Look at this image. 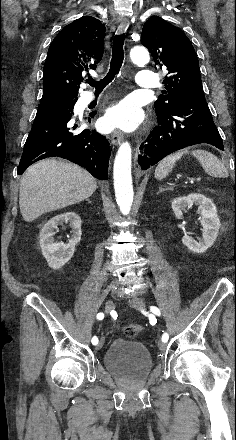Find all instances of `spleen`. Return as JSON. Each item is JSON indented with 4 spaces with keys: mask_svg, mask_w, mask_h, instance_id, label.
Wrapping results in <instances>:
<instances>
[{
    "mask_svg": "<svg viewBox=\"0 0 236 440\" xmlns=\"http://www.w3.org/2000/svg\"><path fill=\"white\" fill-rule=\"evenodd\" d=\"M188 150L177 152L165 157L160 161L155 169V178L158 180L164 179L174 168L175 163L185 154H188ZM195 157L206 173L214 177H227L228 172L223 163L212 153L197 149L190 152Z\"/></svg>",
    "mask_w": 236,
    "mask_h": 440,
    "instance_id": "1",
    "label": "spleen"
}]
</instances>
